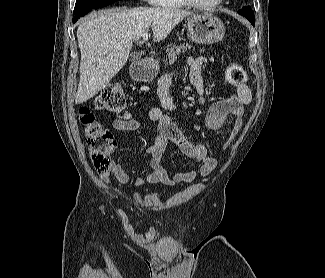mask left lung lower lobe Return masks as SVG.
<instances>
[{
	"label": "left lung lower lobe",
	"instance_id": "obj_1",
	"mask_svg": "<svg viewBox=\"0 0 325 278\" xmlns=\"http://www.w3.org/2000/svg\"><path fill=\"white\" fill-rule=\"evenodd\" d=\"M239 14H241L242 16L246 17L251 24L254 26L255 25V17L253 15L252 9L251 7H244L242 10L238 11Z\"/></svg>",
	"mask_w": 325,
	"mask_h": 278
}]
</instances>
